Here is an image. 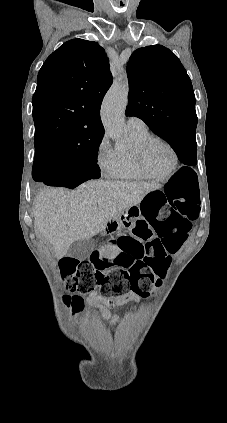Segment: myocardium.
Returning a JSON list of instances; mask_svg holds the SVG:
<instances>
[{
	"label": "myocardium",
	"instance_id": "1",
	"mask_svg": "<svg viewBox=\"0 0 227 423\" xmlns=\"http://www.w3.org/2000/svg\"><path fill=\"white\" fill-rule=\"evenodd\" d=\"M154 143H161L164 145L172 155V164L170 169L165 174H155L151 172L146 164V153L149 147ZM134 162L137 171L145 178L152 180H166L172 177L179 166V155L174 146L166 139L158 136H149L140 142L134 150Z\"/></svg>",
	"mask_w": 227,
	"mask_h": 423
}]
</instances>
